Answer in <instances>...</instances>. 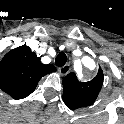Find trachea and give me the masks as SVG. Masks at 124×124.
I'll list each match as a JSON object with an SVG mask.
<instances>
[{"label":"trachea","mask_w":124,"mask_h":124,"mask_svg":"<svg viewBox=\"0 0 124 124\" xmlns=\"http://www.w3.org/2000/svg\"><path fill=\"white\" fill-rule=\"evenodd\" d=\"M67 62V56L64 52H59L55 58V64L57 67H62Z\"/></svg>","instance_id":"trachea-1"}]
</instances>
